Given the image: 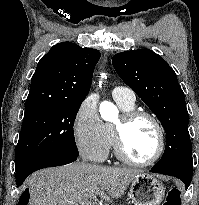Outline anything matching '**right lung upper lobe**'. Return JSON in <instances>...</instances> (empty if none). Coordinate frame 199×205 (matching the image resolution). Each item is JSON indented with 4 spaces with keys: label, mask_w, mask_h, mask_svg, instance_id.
Masks as SVG:
<instances>
[{
    "label": "right lung upper lobe",
    "mask_w": 199,
    "mask_h": 205,
    "mask_svg": "<svg viewBox=\"0 0 199 205\" xmlns=\"http://www.w3.org/2000/svg\"><path fill=\"white\" fill-rule=\"evenodd\" d=\"M100 56L98 50L72 42L52 46L32 76L25 112L55 103L83 102Z\"/></svg>",
    "instance_id": "cb5924a9"
}]
</instances>
